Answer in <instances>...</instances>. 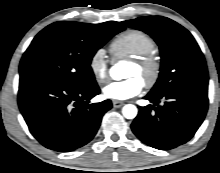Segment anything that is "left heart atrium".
I'll return each instance as SVG.
<instances>
[{
    "instance_id": "obj_1",
    "label": "left heart atrium",
    "mask_w": 220,
    "mask_h": 173,
    "mask_svg": "<svg viewBox=\"0 0 220 173\" xmlns=\"http://www.w3.org/2000/svg\"><path fill=\"white\" fill-rule=\"evenodd\" d=\"M143 81L138 77H131L123 81L111 82L103 89L105 98L112 100H127L137 96L143 90Z\"/></svg>"
}]
</instances>
